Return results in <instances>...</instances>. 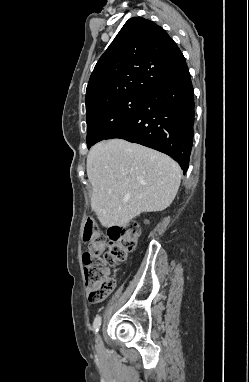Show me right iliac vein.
I'll use <instances>...</instances> for the list:
<instances>
[{
	"instance_id": "right-iliac-vein-1",
	"label": "right iliac vein",
	"mask_w": 249,
	"mask_h": 382,
	"mask_svg": "<svg viewBox=\"0 0 249 382\" xmlns=\"http://www.w3.org/2000/svg\"><path fill=\"white\" fill-rule=\"evenodd\" d=\"M96 348L98 350L102 349V341L99 334L96 336Z\"/></svg>"
}]
</instances>
